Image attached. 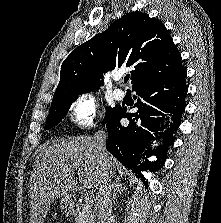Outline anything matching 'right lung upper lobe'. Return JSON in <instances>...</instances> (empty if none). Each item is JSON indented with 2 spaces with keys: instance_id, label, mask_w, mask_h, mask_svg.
<instances>
[{
  "instance_id": "1",
  "label": "right lung upper lobe",
  "mask_w": 221,
  "mask_h": 223,
  "mask_svg": "<svg viewBox=\"0 0 221 223\" xmlns=\"http://www.w3.org/2000/svg\"><path fill=\"white\" fill-rule=\"evenodd\" d=\"M124 63L135 68L131 71L132 88L182 67L181 56L165 26L146 13L130 12L64 60L53 101L97 90L102 74Z\"/></svg>"
}]
</instances>
